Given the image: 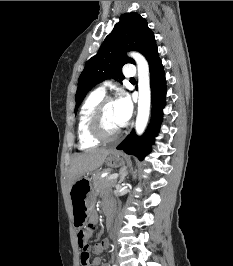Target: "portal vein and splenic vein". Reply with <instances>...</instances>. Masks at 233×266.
I'll return each instance as SVG.
<instances>
[{
  "instance_id": "1",
  "label": "portal vein and splenic vein",
  "mask_w": 233,
  "mask_h": 266,
  "mask_svg": "<svg viewBox=\"0 0 233 266\" xmlns=\"http://www.w3.org/2000/svg\"><path fill=\"white\" fill-rule=\"evenodd\" d=\"M117 177H118V174H117V173H114V174L109 175L108 179H109V180H114V179H116Z\"/></svg>"
}]
</instances>
